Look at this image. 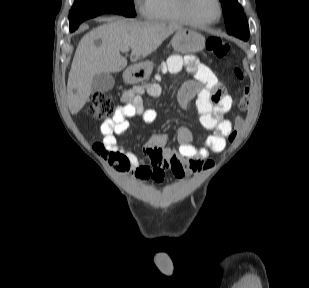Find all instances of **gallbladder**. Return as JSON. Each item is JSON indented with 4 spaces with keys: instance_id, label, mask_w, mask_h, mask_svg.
<instances>
[{
    "instance_id": "bac80fb5",
    "label": "gallbladder",
    "mask_w": 309,
    "mask_h": 288,
    "mask_svg": "<svg viewBox=\"0 0 309 288\" xmlns=\"http://www.w3.org/2000/svg\"><path fill=\"white\" fill-rule=\"evenodd\" d=\"M115 84L114 77L109 73H101L94 77L91 85L92 93L108 92L113 89Z\"/></svg>"
}]
</instances>
